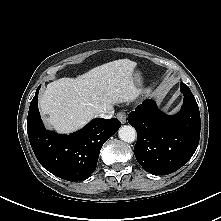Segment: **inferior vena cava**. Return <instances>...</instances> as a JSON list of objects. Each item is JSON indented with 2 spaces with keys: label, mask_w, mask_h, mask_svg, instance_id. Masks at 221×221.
Wrapping results in <instances>:
<instances>
[{
  "label": "inferior vena cava",
  "mask_w": 221,
  "mask_h": 221,
  "mask_svg": "<svg viewBox=\"0 0 221 221\" xmlns=\"http://www.w3.org/2000/svg\"><path fill=\"white\" fill-rule=\"evenodd\" d=\"M98 116L101 117V118L109 119L113 116V110L107 111V112H102Z\"/></svg>",
  "instance_id": "1"
}]
</instances>
